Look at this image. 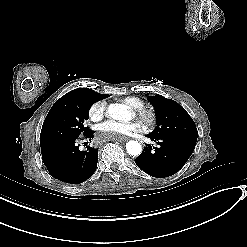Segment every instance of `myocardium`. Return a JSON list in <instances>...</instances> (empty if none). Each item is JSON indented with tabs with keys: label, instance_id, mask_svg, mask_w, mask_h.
I'll return each mask as SVG.
<instances>
[{
	"label": "myocardium",
	"instance_id": "1",
	"mask_svg": "<svg viewBox=\"0 0 247 247\" xmlns=\"http://www.w3.org/2000/svg\"><path fill=\"white\" fill-rule=\"evenodd\" d=\"M139 121L145 133H150L154 130L157 122V115L153 109L142 107L137 111Z\"/></svg>",
	"mask_w": 247,
	"mask_h": 247
}]
</instances>
